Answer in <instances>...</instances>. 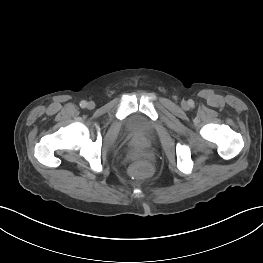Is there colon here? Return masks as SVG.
Returning a JSON list of instances; mask_svg holds the SVG:
<instances>
[{"label": "colon", "mask_w": 263, "mask_h": 263, "mask_svg": "<svg viewBox=\"0 0 263 263\" xmlns=\"http://www.w3.org/2000/svg\"><path fill=\"white\" fill-rule=\"evenodd\" d=\"M130 172L137 177H147L152 172V166L147 161L140 160L131 166Z\"/></svg>", "instance_id": "1"}]
</instances>
